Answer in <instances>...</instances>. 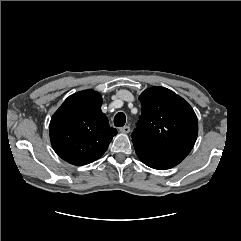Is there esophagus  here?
<instances>
[{
	"instance_id": "obj_1",
	"label": "esophagus",
	"mask_w": 241,
	"mask_h": 241,
	"mask_svg": "<svg viewBox=\"0 0 241 241\" xmlns=\"http://www.w3.org/2000/svg\"><path fill=\"white\" fill-rule=\"evenodd\" d=\"M119 131H120L121 133L127 134V133L130 132V127H129V126L121 127V128L119 129Z\"/></svg>"
}]
</instances>
